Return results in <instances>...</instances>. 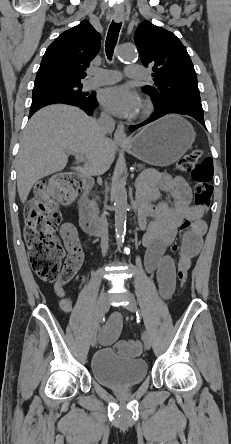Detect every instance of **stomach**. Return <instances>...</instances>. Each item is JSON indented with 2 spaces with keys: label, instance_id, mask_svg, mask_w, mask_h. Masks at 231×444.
I'll return each mask as SVG.
<instances>
[{
  "label": "stomach",
  "instance_id": "0dacf381",
  "mask_svg": "<svg viewBox=\"0 0 231 444\" xmlns=\"http://www.w3.org/2000/svg\"><path fill=\"white\" fill-rule=\"evenodd\" d=\"M195 141L191 124L179 115H167L144 127L128 144H120L136 158L154 166L179 160Z\"/></svg>",
  "mask_w": 231,
  "mask_h": 444
}]
</instances>
